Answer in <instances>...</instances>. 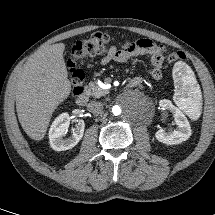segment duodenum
I'll return each mask as SVG.
<instances>
[{
    "label": "duodenum",
    "mask_w": 215,
    "mask_h": 215,
    "mask_svg": "<svg viewBox=\"0 0 215 215\" xmlns=\"http://www.w3.org/2000/svg\"><path fill=\"white\" fill-rule=\"evenodd\" d=\"M138 85H139V81H137V80H131L129 83L130 88L136 87ZM88 100H89V96L84 91L77 97L76 102L79 106H85L88 103Z\"/></svg>",
    "instance_id": "obj_1"
}]
</instances>
